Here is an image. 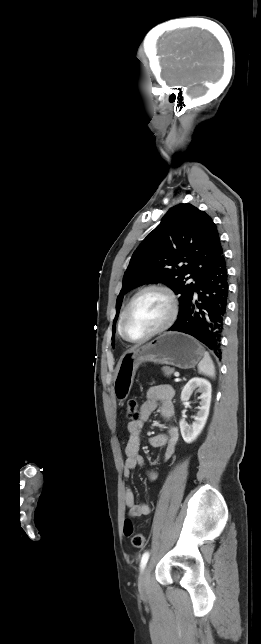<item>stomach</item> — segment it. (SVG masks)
Listing matches in <instances>:
<instances>
[{
	"label": "stomach",
	"instance_id": "obj_1",
	"mask_svg": "<svg viewBox=\"0 0 261 644\" xmlns=\"http://www.w3.org/2000/svg\"><path fill=\"white\" fill-rule=\"evenodd\" d=\"M204 353L203 347L191 336L178 332L164 333L122 356L114 378V395L119 401L127 399L136 371L144 362L191 369L198 364Z\"/></svg>",
	"mask_w": 261,
	"mask_h": 644
}]
</instances>
